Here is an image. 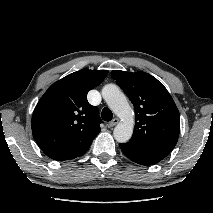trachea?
I'll list each match as a JSON object with an SVG mask.
<instances>
[{
    "instance_id": "obj_1",
    "label": "trachea",
    "mask_w": 213,
    "mask_h": 213,
    "mask_svg": "<svg viewBox=\"0 0 213 213\" xmlns=\"http://www.w3.org/2000/svg\"><path fill=\"white\" fill-rule=\"evenodd\" d=\"M101 117L104 121H111L113 114L109 108H104L101 112Z\"/></svg>"
}]
</instances>
